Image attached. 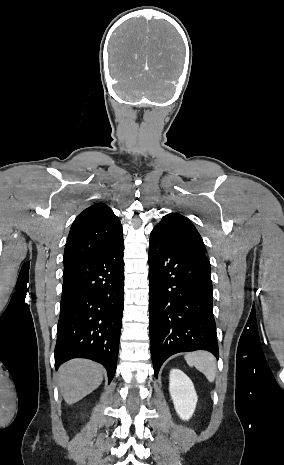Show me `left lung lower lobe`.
<instances>
[{"label": "left lung lower lobe", "mask_w": 284, "mask_h": 465, "mask_svg": "<svg viewBox=\"0 0 284 465\" xmlns=\"http://www.w3.org/2000/svg\"><path fill=\"white\" fill-rule=\"evenodd\" d=\"M211 266L206 253L151 232L149 327L155 377L173 354L207 350L218 358Z\"/></svg>", "instance_id": "0a47b994"}]
</instances>
